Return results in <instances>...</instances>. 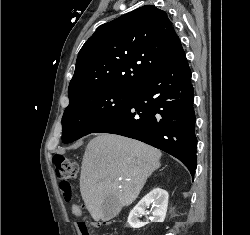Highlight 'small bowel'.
I'll use <instances>...</instances> for the list:
<instances>
[{"instance_id":"small-bowel-1","label":"small bowel","mask_w":250,"mask_h":235,"mask_svg":"<svg viewBox=\"0 0 250 235\" xmlns=\"http://www.w3.org/2000/svg\"><path fill=\"white\" fill-rule=\"evenodd\" d=\"M72 212L75 214V215H79L81 213L80 209L77 207V206H74L72 208Z\"/></svg>"}]
</instances>
